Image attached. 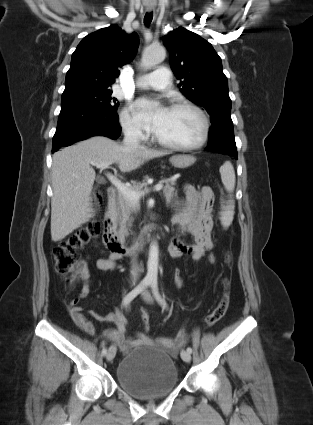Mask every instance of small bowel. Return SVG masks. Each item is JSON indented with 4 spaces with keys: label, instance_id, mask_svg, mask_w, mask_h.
<instances>
[{
    "label": "small bowel",
    "instance_id": "c3829d8e",
    "mask_svg": "<svg viewBox=\"0 0 313 425\" xmlns=\"http://www.w3.org/2000/svg\"><path fill=\"white\" fill-rule=\"evenodd\" d=\"M184 193L185 202L180 205L172 218V222L179 227V235L173 239L168 251L172 258H179L184 254H189L194 261H201L205 253L212 250L214 246L211 238L213 228L211 211L214 193L209 186L196 189L191 185L184 187ZM185 234H191L194 237V244L189 245L182 241L181 236ZM119 258L120 256L112 253L109 257L97 259L96 266L104 271L115 270ZM88 276V272L85 270L83 278L88 279ZM88 294L89 285L85 284L79 299L87 297ZM77 301L78 299L70 304V316L78 328L88 335H93L95 326L84 315L82 307L76 305ZM91 315L100 322H113L115 324L116 328L113 331L105 332L103 337L116 343L122 351H128L135 346L154 343L153 340L140 334L129 336L127 333V320L118 310L107 314L92 312ZM185 341L186 334L180 332L174 339L159 337L156 342L171 348L183 345Z\"/></svg>",
    "mask_w": 313,
    "mask_h": 425
}]
</instances>
